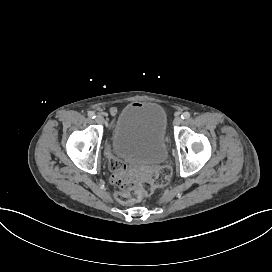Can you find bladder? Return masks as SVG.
<instances>
[{"label": "bladder", "instance_id": "bladder-1", "mask_svg": "<svg viewBox=\"0 0 272 272\" xmlns=\"http://www.w3.org/2000/svg\"><path fill=\"white\" fill-rule=\"evenodd\" d=\"M167 116L156 103L126 105L118 113L111 133V151L116 157L143 165L168 161Z\"/></svg>", "mask_w": 272, "mask_h": 272}]
</instances>
